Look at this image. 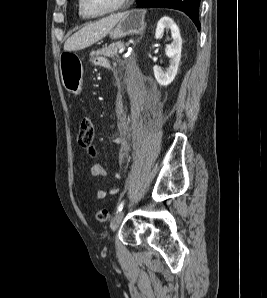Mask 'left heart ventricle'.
<instances>
[{"label": "left heart ventricle", "mask_w": 267, "mask_h": 298, "mask_svg": "<svg viewBox=\"0 0 267 298\" xmlns=\"http://www.w3.org/2000/svg\"><path fill=\"white\" fill-rule=\"evenodd\" d=\"M121 0H84L85 9L92 14L104 13L115 8Z\"/></svg>", "instance_id": "1"}]
</instances>
